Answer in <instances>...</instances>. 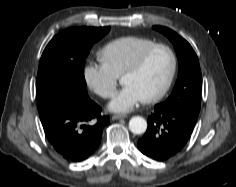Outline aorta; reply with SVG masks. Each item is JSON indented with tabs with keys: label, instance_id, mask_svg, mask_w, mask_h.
Instances as JSON below:
<instances>
[{
	"label": "aorta",
	"instance_id": "obj_1",
	"mask_svg": "<svg viewBox=\"0 0 236 187\" xmlns=\"http://www.w3.org/2000/svg\"><path fill=\"white\" fill-rule=\"evenodd\" d=\"M129 129L134 134H142L147 129V122L143 117H132L129 121Z\"/></svg>",
	"mask_w": 236,
	"mask_h": 187
}]
</instances>
